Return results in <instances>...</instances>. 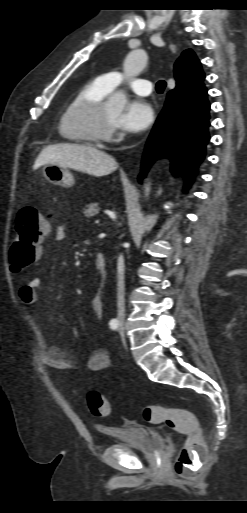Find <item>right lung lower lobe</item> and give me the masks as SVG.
<instances>
[{
  "label": "right lung lower lobe",
  "mask_w": 247,
  "mask_h": 513,
  "mask_svg": "<svg viewBox=\"0 0 247 513\" xmlns=\"http://www.w3.org/2000/svg\"><path fill=\"white\" fill-rule=\"evenodd\" d=\"M209 110L203 83L187 92L170 91L147 141L139 180L160 157L171 158L173 173L185 169L187 174L194 176L209 141ZM190 183L187 181L186 187Z\"/></svg>",
  "instance_id": "98d812e1"
}]
</instances>
